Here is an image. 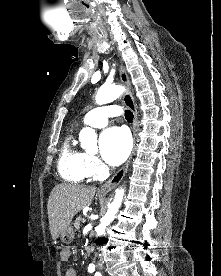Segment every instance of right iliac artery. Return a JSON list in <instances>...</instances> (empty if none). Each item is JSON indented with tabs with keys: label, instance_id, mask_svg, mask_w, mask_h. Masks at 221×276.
I'll return each mask as SVG.
<instances>
[{
	"label": "right iliac artery",
	"instance_id": "82829eb1",
	"mask_svg": "<svg viewBox=\"0 0 221 276\" xmlns=\"http://www.w3.org/2000/svg\"><path fill=\"white\" fill-rule=\"evenodd\" d=\"M88 271H89V272H93V271H94V267H89V268H88Z\"/></svg>",
	"mask_w": 221,
	"mask_h": 276
}]
</instances>
